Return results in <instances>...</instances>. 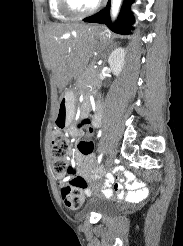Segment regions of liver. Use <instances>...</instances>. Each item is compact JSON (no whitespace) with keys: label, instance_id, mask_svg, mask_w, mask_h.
Listing matches in <instances>:
<instances>
[{"label":"liver","instance_id":"6515ba94","mask_svg":"<svg viewBox=\"0 0 183 246\" xmlns=\"http://www.w3.org/2000/svg\"><path fill=\"white\" fill-rule=\"evenodd\" d=\"M96 30L93 26L70 23H54L47 27V52L59 90L89 62L94 52Z\"/></svg>","mask_w":183,"mask_h":246}]
</instances>
